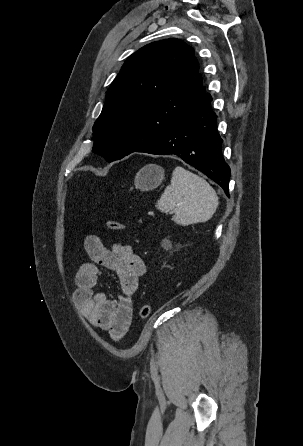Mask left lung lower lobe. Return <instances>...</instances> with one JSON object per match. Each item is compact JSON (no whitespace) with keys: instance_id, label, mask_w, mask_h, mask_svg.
<instances>
[{"instance_id":"obj_1","label":"left lung lower lobe","mask_w":303,"mask_h":446,"mask_svg":"<svg viewBox=\"0 0 303 446\" xmlns=\"http://www.w3.org/2000/svg\"><path fill=\"white\" fill-rule=\"evenodd\" d=\"M212 97L204 92L162 137L137 149L156 155L174 154L218 183L229 196L230 168L224 161Z\"/></svg>"}]
</instances>
